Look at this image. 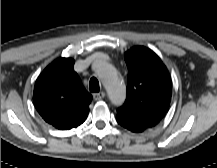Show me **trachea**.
Segmentation results:
<instances>
[{"label":"trachea","instance_id":"trachea-1","mask_svg":"<svg viewBox=\"0 0 217 168\" xmlns=\"http://www.w3.org/2000/svg\"><path fill=\"white\" fill-rule=\"evenodd\" d=\"M89 88H90V91L93 93L99 92V90H100L99 82L95 77L90 79Z\"/></svg>","mask_w":217,"mask_h":168}]
</instances>
